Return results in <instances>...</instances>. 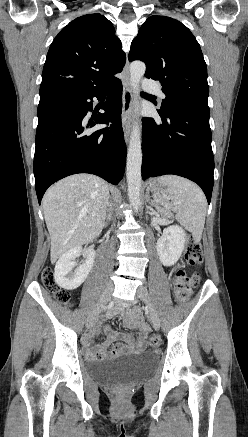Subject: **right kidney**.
I'll return each mask as SVG.
<instances>
[{"label": "right kidney", "mask_w": 248, "mask_h": 437, "mask_svg": "<svg viewBox=\"0 0 248 437\" xmlns=\"http://www.w3.org/2000/svg\"><path fill=\"white\" fill-rule=\"evenodd\" d=\"M83 255L84 262L76 267L75 260ZM95 259L93 249H83L81 246L75 247L64 253L55 265L54 279L55 282L66 290L77 289L87 278L91 271Z\"/></svg>", "instance_id": "obj_1"}]
</instances>
